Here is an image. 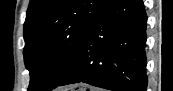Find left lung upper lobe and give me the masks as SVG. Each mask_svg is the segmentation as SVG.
Here are the masks:
<instances>
[{
  "label": "left lung upper lobe",
  "instance_id": "left-lung-upper-lobe-1",
  "mask_svg": "<svg viewBox=\"0 0 173 91\" xmlns=\"http://www.w3.org/2000/svg\"><path fill=\"white\" fill-rule=\"evenodd\" d=\"M111 0H30L24 23L28 91L57 87Z\"/></svg>",
  "mask_w": 173,
  "mask_h": 91
}]
</instances>
